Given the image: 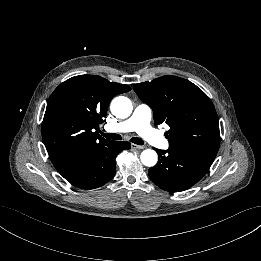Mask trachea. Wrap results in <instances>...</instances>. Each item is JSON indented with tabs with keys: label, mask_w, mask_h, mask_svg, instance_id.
<instances>
[{
	"label": "trachea",
	"mask_w": 261,
	"mask_h": 261,
	"mask_svg": "<svg viewBox=\"0 0 261 261\" xmlns=\"http://www.w3.org/2000/svg\"><path fill=\"white\" fill-rule=\"evenodd\" d=\"M102 136L109 138V139H113V140H121L122 137L119 134L116 133H110V134H106V133H101ZM131 142L138 144V145H143L144 141L141 138L138 137H133L130 139Z\"/></svg>",
	"instance_id": "obj_1"
}]
</instances>
